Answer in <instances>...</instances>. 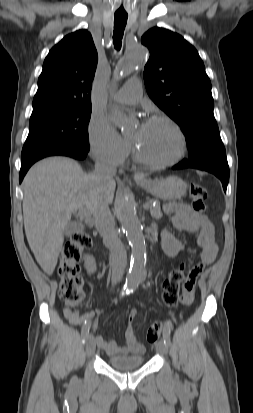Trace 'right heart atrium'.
Instances as JSON below:
<instances>
[{
    "label": "right heart atrium",
    "mask_w": 253,
    "mask_h": 413,
    "mask_svg": "<svg viewBox=\"0 0 253 413\" xmlns=\"http://www.w3.org/2000/svg\"><path fill=\"white\" fill-rule=\"evenodd\" d=\"M90 153L99 162L111 165L122 163L130 145L100 116H92L88 126Z\"/></svg>",
    "instance_id": "d8ad5b80"
}]
</instances>
